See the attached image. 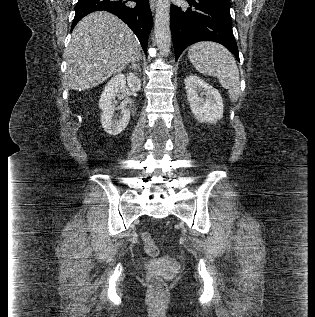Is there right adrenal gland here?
Listing matches in <instances>:
<instances>
[{"mask_svg": "<svg viewBox=\"0 0 315 317\" xmlns=\"http://www.w3.org/2000/svg\"><path fill=\"white\" fill-rule=\"evenodd\" d=\"M139 58L136 56V57H133L131 60H130V63L132 65V69L134 70H137L140 72V67H139Z\"/></svg>", "mask_w": 315, "mask_h": 317, "instance_id": "1", "label": "right adrenal gland"}]
</instances>
